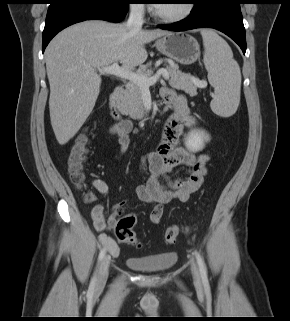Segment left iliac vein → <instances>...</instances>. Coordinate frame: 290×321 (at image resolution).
<instances>
[{"instance_id":"1","label":"left iliac vein","mask_w":290,"mask_h":321,"mask_svg":"<svg viewBox=\"0 0 290 321\" xmlns=\"http://www.w3.org/2000/svg\"><path fill=\"white\" fill-rule=\"evenodd\" d=\"M191 270H192V275H193V279H194L195 283L197 285H201L200 273H199L196 263L193 260L191 262Z\"/></svg>"}]
</instances>
